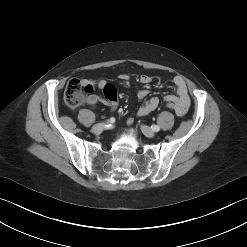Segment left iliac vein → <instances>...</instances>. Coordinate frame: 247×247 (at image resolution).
<instances>
[{"mask_svg": "<svg viewBox=\"0 0 247 247\" xmlns=\"http://www.w3.org/2000/svg\"><path fill=\"white\" fill-rule=\"evenodd\" d=\"M141 130L144 133V135L149 137V138H153L155 136L154 131L146 125H142Z\"/></svg>", "mask_w": 247, "mask_h": 247, "instance_id": "1", "label": "left iliac vein"}]
</instances>
